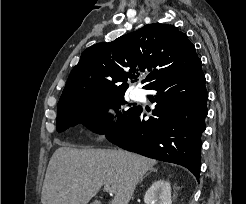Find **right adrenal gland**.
Segmentation results:
<instances>
[{
	"mask_svg": "<svg viewBox=\"0 0 246 204\" xmlns=\"http://www.w3.org/2000/svg\"><path fill=\"white\" fill-rule=\"evenodd\" d=\"M152 171H157V169H156V168H151L150 171H149V173H151ZM149 173H147V174L145 175V177H146ZM142 181H143V178L140 180V182H142Z\"/></svg>",
	"mask_w": 246,
	"mask_h": 204,
	"instance_id": "obj_1",
	"label": "right adrenal gland"
}]
</instances>
